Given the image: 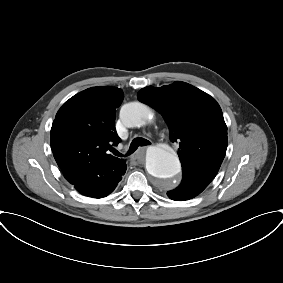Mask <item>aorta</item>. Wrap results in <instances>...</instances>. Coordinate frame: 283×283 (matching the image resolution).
Wrapping results in <instances>:
<instances>
[{
    "mask_svg": "<svg viewBox=\"0 0 283 283\" xmlns=\"http://www.w3.org/2000/svg\"><path fill=\"white\" fill-rule=\"evenodd\" d=\"M153 118L152 110L141 102L126 104L121 109V119L128 127H141L145 121ZM147 172L159 180L166 189L177 185L175 177L181 171L180 161L177 155L169 148L152 146L146 154Z\"/></svg>",
    "mask_w": 283,
    "mask_h": 283,
    "instance_id": "762f6f07",
    "label": "aorta"
}]
</instances>
